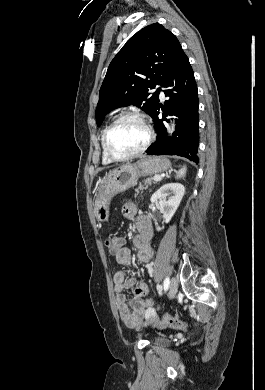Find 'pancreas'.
Wrapping results in <instances>:
<instances>
[{"label": "pancreas", "mask_w": 265, "mask_h": 390, "mask_svg": "<svg viewBox=\"0 0 265 390\" xmlns=\"http://www.w3.org/2000/svg\"><path fill=\"white\" fill-rule=\"evenodd\" d=\"M153 178H147L144 180V184H139L138 188L136 189L137 194L139 193V190H142L145 188L146 184L152 185Z\"/></svg>", "instance_id": "pancreas-1"}]
</instances>
